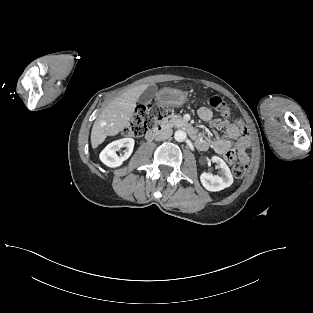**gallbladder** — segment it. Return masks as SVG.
I'll return each mask as SVG.
<instances>
[{
    "label": "gallbladder",
    "instance_id": "obj_1",
    "mask_svg": "<svg viewBox=\"0 0 313 313\" xmlns=\"http://www.w3.org/2000/svg\"><path fill=\"white\" fill-rule=\"evenodd\" d=\"M157 92L156 86H149L142 96L143 102H148L152 99L153 95Z\"/></svg>",
    "mask_w": 313,
    "mask_h": 313
}]
</instances>
